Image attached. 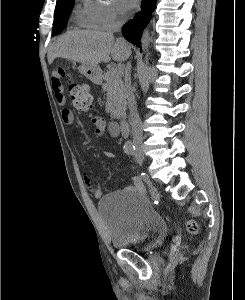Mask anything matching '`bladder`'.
Returning a JSON list of instances; mask_svg holds the SVG:
<instances>
[{"mask_svg":"<svg viewBox=\"0 0 245 300\" xmlns=\"http://www.w3.org/2000/svg\"><path fill=\"white\" fill-rule=\"evenodd\" d=\"M110 245L151 251L161 246L169 233L166 221L149 199L133 190H119L105 195L98 204Z\"/></svg>","mask_w":245,"mask_h":300,"instance_id":"bladder-1","label":"bladder"}]
</instances>
